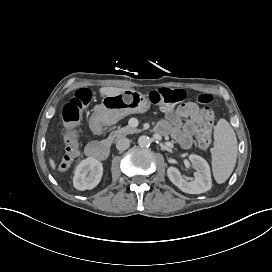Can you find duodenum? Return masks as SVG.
<instances>
[{
	"label": "duodenum",
	"instance_id": "duodenum-1",
	"mask_svg": "<svg viewBox=\"0 0 272 272\" xmlns=\"http://www.w3.org/2000/svg\"><path fill=\"white\" fill-rule=\"evenodd\" d=\"M109 116L105 108H98L91 119V129L95 133H100L103 128L108 124ZM86 155L89 158L104 160L109 156L110 146L106 143L91 142L86 146Z\"/></svg>",
	"mask_w": 272,
	"mask_h": 272
}]
</instances>
